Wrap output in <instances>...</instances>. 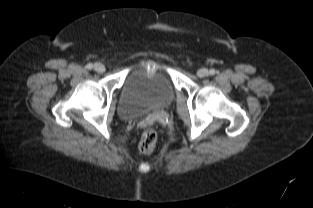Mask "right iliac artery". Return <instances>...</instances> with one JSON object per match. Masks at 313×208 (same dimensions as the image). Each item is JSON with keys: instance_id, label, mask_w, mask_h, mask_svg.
I'll use <instances>...</instances> for the list:
<instances>
[{"instance_id": "1", "label": "right iliac artery", "mask_w": 313, "mask_h": 208, "mask_svg": "<svg viewBox=\"0 0 313 208\" xmlns=\"http://www.w3.org/2000/svg\"><path fill=\"white\" fill-rule=\"evenodd\" d=\"M86 68H87V69H92V68H93L92 63L87 64V65H86Z\"/></svg>"}]
</instances>
